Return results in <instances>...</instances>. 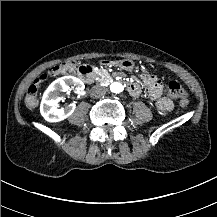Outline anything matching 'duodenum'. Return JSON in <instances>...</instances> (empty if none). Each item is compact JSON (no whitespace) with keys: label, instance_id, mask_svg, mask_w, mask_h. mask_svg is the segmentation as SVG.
Listing matches in <instances>:
<instances>
[{"label":"duodenum","instance_id":"obj_1","mask_svg":"<svg viewBox=\"0 0 217 217\" xmlns=\"http://www.w3.org/2000/svg\"><path fill=\"white\" fill-rule=\"evenodd\" d=\"M113 64L114 63L111 61L101 62V65H105V66H112ZM80 75H81V78L85 82H88V83L91 82L94 78V66L91 64H85V65L81 66L80 67ZM127 89L129 91V93L132 95H136L140 92V87L135 82L128 83Z\"/></svg>","mask_w":217,"mask_h":217}]
</instances>
